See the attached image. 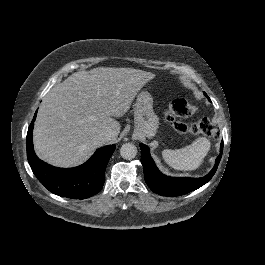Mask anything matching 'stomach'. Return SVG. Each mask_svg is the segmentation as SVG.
Instances as JSON below:
<instances>
[{
  "label": "stomach",
  "mask_w": 265,
  "mask_h": 265,
  "mask_svg": "<svg viewBox=\"0 0 265 265\" xmlns=\"http://www.w3.org/2000/svg\"><path fill=\"white\" fill-rule=\"evenodd\" d=\"M154 98L147 89L140 90L134 105L135 132L141 138H153L158 132L159 117L153 110Z\"/></svg>",
  "instance_id": "1"
}]
</instances>
